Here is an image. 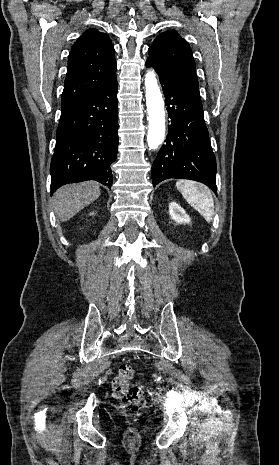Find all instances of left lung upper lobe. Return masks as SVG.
I'll list each match as a JSON object with an SVG mask.
<instances>
[{
    "instance_id": "5c2ea615",
    "label": "left lung upper lobe",
    "mask_w": 279,
    "mask_h": 465,
    "mask_svg": "<svg viewBox=\"0 0 279 465\" xmlns=\"http://www.w3.org/2000/svg\"><path fill=\"white\" fill-rule=\"evenodd\" d=\"M148 61L163 71L198 87L195 61L188 42L175 31L159 34L150 46Z\"/></svg>"
}]
</instances>
